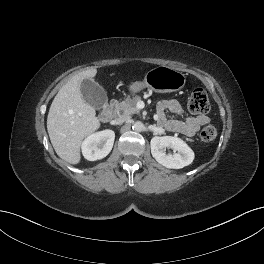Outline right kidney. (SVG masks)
Here are the masks:
<instances>
[{
	"label": "right kidney",
	"mask_w": 264,
	"mask_h": 264,
	"mask_svg": "<svg viewBox=\"0 0 264 264\" xmlns=\"http://www.w3.org/2000/svg\"><path fill=\"white\" fill-rule=\"evenodd\" d=\"M115 133L112 130H103L89 135L81 145L82 154L89 161L105 158L112 150Z\"/></svg>",
	"instance_id": "obj_1"
}]
</instances>
